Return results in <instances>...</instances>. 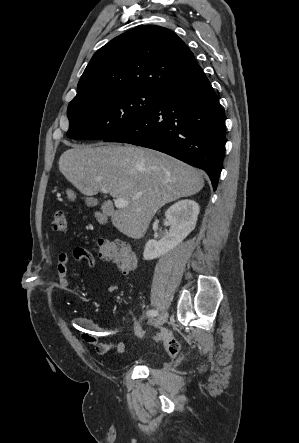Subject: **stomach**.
<instances>
[{
	"instance_id": "0dacf381",
	"label": "stomach",
	"mask_w": 299,
	"mask_h": 443,
	"mask_svg": "<svg viewBox=\"0 0 299 443\" xmlns=\"http://www.w3.org/2000/svg\"><path fill=\"white\" fill-rule=\"evenodd\" d=\"M66 193L69 199L74 200L76 198V195L72 190H67Z\"/></svg>"
}]
</instances>
